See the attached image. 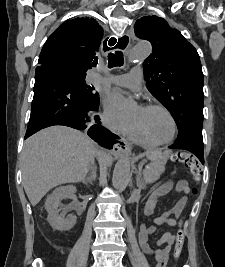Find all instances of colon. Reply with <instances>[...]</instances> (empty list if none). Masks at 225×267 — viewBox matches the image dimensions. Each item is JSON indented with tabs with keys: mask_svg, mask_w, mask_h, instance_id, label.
Listing matches in <instances>:
<instances>
[{
	"mask_svg": "<svg viewBox=\"0 0 225 267\" xmlns=\"http://www.w3.org/2000/svg\"><path fill=\"white\" fill-rule=\"evenodd\" d=\"M172 159L176 162L183 164L190 171L193 180L195 181L199 180L202 169L199 162L191 154L186 152H178L173 155ZM191 193L192 195H196L197 188L195 187L192 188ZM181 224L182 221L180 220V225ZM183 244H184V232L180 228L176 234V243L173 252V259L175 262L178 261V259L181 256ZM166 265H167L166 259H162L158 262L156 267H166Z\"/></svg>",
	"mask_w": 225,
	"mask_h": 267,
	"instance_id": "1",
	"label": "colon"
}]
</instances>
